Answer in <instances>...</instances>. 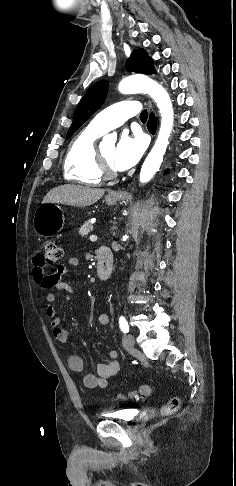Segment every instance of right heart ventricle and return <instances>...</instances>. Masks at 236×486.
Wrapping results in <instances>:
<instances>
[{
	"label": "right heart ventricle",
	"instance_id": "e07e8e85",
	"mask_svg": "<svg viewBox=\"0 0 236 486\" xmlns=\"http://www.w3.org/2000/svg\"><path fill=\"white\" fill-rule=\"evenodd\" d=\"M100 135L88 127L72 139L63 163L66 180L89 186L101 183L102 178L97 170L94 147Z\"/></svg>",
	"mask_w": 236,
	"mask_h": 486
}]
</instances>
